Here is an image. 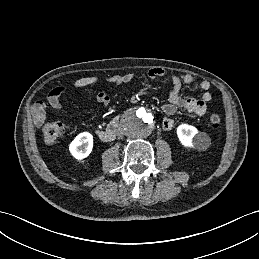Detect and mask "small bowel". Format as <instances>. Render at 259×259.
Wrapping results in <instances>:
<instances>
[{
  "label": "small bowel",
  "mask_w": 259,
  "mask_h": 259,
  "mask_svg": "<svg viewBox=\"0 0 259 259\" xmlns=\"http://www.w3.org/2000/svg\"><path fill=\"white\" fill-rule=\"evenodd\" d=\"M148 75L152 78L161 76H170L172 79V90L169 94L168 101L162 106V111L167 115L162 120V128L169 131L174 126L173 116L178 108L186 110L190 114L196 116H203L207 111V103L212 99L210 89V82L202 80L195 82L190 74H182L180 76L170 73L168 70L162 68H152L148 71ZM134 78V74L126 73L123 75H114L106 79L107 83L123 86ZM99 81L97 76H87L79 78L75 81L76 88H83L96 84ZM194 85L195 88L201 91L200 98L184 97L181 93L182 84ZM70 93L66 87H56L49 92L44 99H39L34 102L32 106V117L36 126H41L46 118L48 107L59 109L62 106V98ZM96 99L99 103L107 105L110 103L112 97L105 92H98Z\"/></svg>",
  "instance_id": "small-bowel-1"
}]
</instances>
